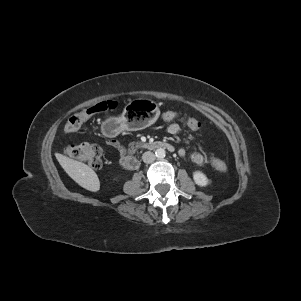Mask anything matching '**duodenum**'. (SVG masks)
<instances>
[{"mask_svg": "<svg viewBox=\"0 0 301 301\" xmlns=\"http://www.w3.org/2000/svg\"><path fill=\"white\" fill-rule=\"evenodd\" d=\"M145 149H150V150H155V149H165L169 152L174 151V147L163 141H153V142H148L143 145ZM121 164L122 166L127 169V170H134L138 166V161L134 155L128 154L124 155L121 159Z\"/></svg>", "mask_w": 301, "mask_h": 301, "instance_id": "1", "label": "duodenum"}]
</instances>
